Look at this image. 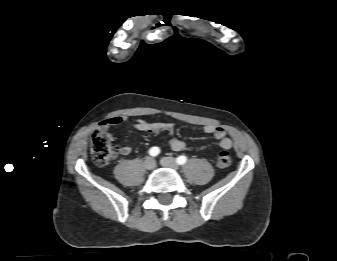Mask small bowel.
<instances>
[{"label": "small bowel", "instance_id": "c3829d8e", "mask_svg": "<svg viewBox=\"0 0 337 261\" xmlns=\"http://www.w3.org/2000/svg\"><path fill=\"white\" fill-rule=\"evenodd\" d=\"M124 118L120 116H113L106 119L100 123L102 129H106L112 126H119L123 123ZM129 128L146 132L151 135H159L161 133H166L170 138V146L174 151H182L186 148V142L173 136L175 126L173 123L167 122H148L145 120H136L135 122L129 124ZM203 131L206 134L214 136L221 148L228 150L232 147V140L227 136L226 130L222 126L207 124L203 127ZM132 151L130 146H121L118 148V153L121 155H128Z\"/></svg>", "mask_w": 337, "mask_h": 261}]
</instances>
